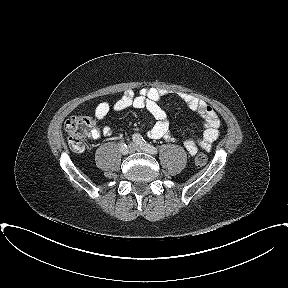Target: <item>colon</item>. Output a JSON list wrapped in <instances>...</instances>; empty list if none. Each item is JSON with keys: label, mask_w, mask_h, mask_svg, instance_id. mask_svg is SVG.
Wrapping results in <instances>:
<instances>
[{"label": "colon", "mask_w": 288, "mask_h": 288, "mask_svg": "<svg viewBox=\"0 0 288 288\" xmlns=\"http://www.w3.org/2000/svg\"><path fill=\"white\" fill-rule=\"evenodd\" d=\"M95 118L92 116H72L65 122V131L68 136L70 147L74 152H81L85 147L88 136L94 129ZM207 157L203 153H199L195 157V163L198 166H204Z\"/></svg>", "instance_id": "1"}]
</instances>
